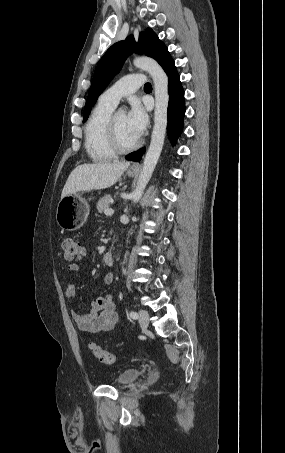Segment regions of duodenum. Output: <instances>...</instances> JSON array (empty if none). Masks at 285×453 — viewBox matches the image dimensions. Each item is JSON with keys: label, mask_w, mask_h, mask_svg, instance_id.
I'll use <instances>...</instances> for the list:
<instances>
[{"label": "duodenum", "mask_w": 285, "mask_h": 453, "mask_svg": "<svg viewBox=\"0 0 285 453\" xmlns=\"http://www.w3.org/2000/svg\"><path fill=\"white\" fill-rule=\"evenodd\" d=\"M103 260L106 265L111 266L114 263V253L112 251H107L103 256Z\"/></svg>", "instance_id": "obj_1"}]
</instances>
